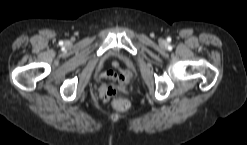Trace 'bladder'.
<instances>
[{"label": "bladder", "mask_w": 247, "mask_h": 145, "mask_svg": "<svg viewBox=\"0 0 247 145\" xmlns=\"http://www.w3.org/2000/svg\"><path fill=\"white\" fill-rule=\"evenodd\" d=\"M127 63H128L129 65H131V62H130L129 60H127Z\"/></svg>", "instance_id": "obj_1"}]
</instances>
